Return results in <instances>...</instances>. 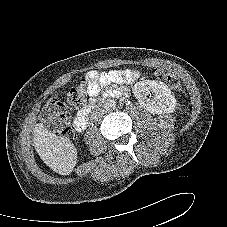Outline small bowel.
Segmentation results:
<instances>
[{
  "label": "small bowel",
  "instance_id": "obj_1",
  "mask_svg": "<svg viewBox=\"0 0 227 227\" xmlns=\"http://www.w3.org/2000/svg\"><path fill=\"white\" fill-rule=\"evenodd\" d=\"M140 74L129 69L113 70L109 72H98L95 70L86 73L85 77L88 85V95L98 94L100 87L110 83H129L134 81Z\"/></svg>",
  "mask_w": 227,
  "mask_h": 227
}]
</instances>
